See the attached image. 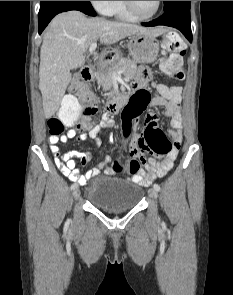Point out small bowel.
<instances>
[{"instance_id": "obj_1", "label": "small bowel", "mask_w": 233, "mask_h": 295, "mask_svg": "<svg viewBox=\"0 0 233 295\" xmlns=\"http://www.w3.org/2000/svg\"><path fill=\"white\" fill-rule=\"evenodd\" d=\"M151 79V73L147 68H140L137 74L136 87L140 88L132 97L125 110L130 117L131 123L136 124L139 120L140 114L147 107L148 104L152 106H162L165 108L164 115L170 119L169 123L171 130L169 136L173 142V148L169 154L164 158L158 160L156 158H149L144 167L141 168L132 178V180L142 186L150 185L156 178L165 176L173 167L174 161L178 156L180 144L182 141V118H181V96L168 97L162 94L151 98L149 92L142 88ZM94 99V97H93ZM95 101V100H94ZM114 120L110 113L106 112L101 121L94 126H87L80 122L76 127L70 128L65 134L61 136H51L49 139L50 151L54 155L55 163L61 172L70 180L85 184L88 179L97 177L100 174L98 168L88 170L85 175H81L77 168L76 159H79L82 165H86L91 155L88 152L69 151L61 154L58 147V142L66 143L68 140L77 138L85 140L90 138L98 143V134L101 129L112 127ZM146 126L157 127L158 116L154 113L147 115L145 119ZM113 139H109L112 143ZM102 172L105 175H113L114 170L108 167L106 163L101 165Z\"/></svg>"}]
</instances>
